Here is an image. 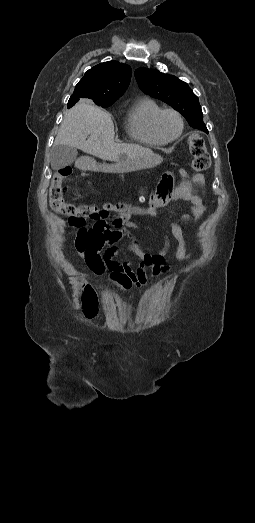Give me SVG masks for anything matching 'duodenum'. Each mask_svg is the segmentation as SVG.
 Segmentation results:
<instances>
[{
    "label": "duodenum",
    "mask_w": 255,
    "mask_h": 523,
    "mask_svg": "<svg viewBox=\"0 0 255 523\" xmlns=\"http://www.w3.org/2000/svg\"><path fill=\"white\" fill-rule=\"evenodd\" d=\"M93 165H94V159L89 156L82 157L78 161V167L81 170L89 171L93 168Z\"/></svg>",
    "instance_id": "duodenum-1"
}]
</instances>
